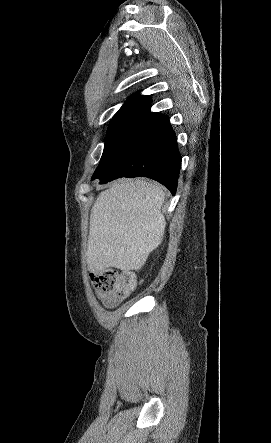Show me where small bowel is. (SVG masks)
<instances>
[{
    "label": "small bowel",
    "mask_w": 271,
    "mask_h": 443,
    "mask_svg": "<svg viewBox=\"0 0 271 443\" xmlns=\"http://www.w3.org/2000/svg\"><path fill=\"white\" fill-rule=\"evenodd\" d=\"M96 295H97L98 299L101 301V303L107 308H115L123 300V299H118V298L106 295V294L101 293L99 291H96Z\"/></svg>",
    "instance_id": "obj_1"
}]
</instances>
